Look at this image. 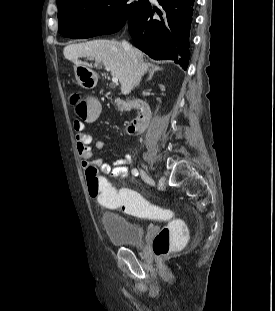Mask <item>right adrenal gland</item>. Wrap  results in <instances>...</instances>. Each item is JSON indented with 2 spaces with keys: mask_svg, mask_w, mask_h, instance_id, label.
Wrapping results in <instances>:
<instances>
[{
  "mask_svg": "<svg viewBox=\"0 0 275 311\" xmlns=\"http://www.w3.org/2000/svg\"><path fill=\"white\" fill-rule=\"evenodd\" d=\"M149 67H150V72H149V76H148V78H147V81H150V80L152 79L153 75H154L156 72L162 70V68H160V67L157 66V65H153V64H149Z\"/></svg>",
  "mask_w": 275,
  "mask_h": 311,
  "instance_id": "right-adrenal-gland-1",
  "label": "right adrenal gland"
}]
</instances>
